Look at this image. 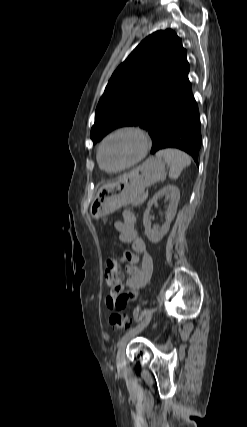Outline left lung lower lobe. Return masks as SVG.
Here are the masks:
<instances>
[{"instance_id": "1", "label": "left lung lower lobe", "mask_w": 247, "mask_h": 427, "mask_svg": "<svg viewBox=\"0 0 247 427\" xmlns=\"http://www.w3.org/2000/svg\"><path fill=\"white\" fill-rule=\"evenodd\" d=\"M148 132L153 140L151 154L165 148H178L191 155L198 165L202 137L198 106L192 95L191 85L160 109Z\"/></svg>"}]
</instances>
